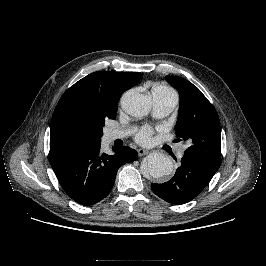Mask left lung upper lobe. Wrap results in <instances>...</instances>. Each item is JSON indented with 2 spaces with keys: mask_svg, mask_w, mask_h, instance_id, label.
I'll use <instances>...</instances> for the list:
<instances>
[{
  "mask_svg": "<svg viewBox=\"0 0 266 266\" xmlns=\"http://www.w3.org/2000/svg\"><path fill=\"white\" fill-rule=\"evenodd\" d=\"M166 81L180 95L176 136L179 141L182 139L191 143L183 157L217 171L221 164V132L215 108L189 81L176 76H166Z\"/></svg>",
  "mask_w": 266,
  "mask_h": 266,
  "instance_id": "5c2ea615",
  "label": "left lung upper lobe"
}]
</instances>
